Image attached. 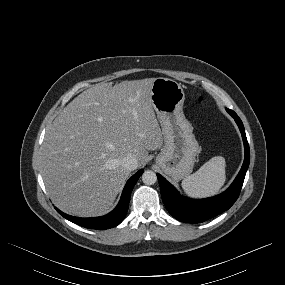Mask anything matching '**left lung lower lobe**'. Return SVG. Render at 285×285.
I'll list each match as a JSON object with an SVG mask.
<instances>
[{
	"label": "left lung lower lobe",
	"instance_id": "1",
	"mask_svg": "<svg viewBox=\"0 0 285 285\" xmlns=\"http://www.w3.org/2000/svg\"><path fill=\"white\" fill-rule=\"evenodd\" d=\"M226 110L234 118L241 131L245 158L239 174L225 192L207 199H188L182 197L164 177L157 174L164 205L169 213L181 222L201 223L213 218L228 210L240 194L250 162V149L241 119L234 111Z\"/></svg>",
	"mask_w": 285,
	"mask_h": 285
}]
</instances>
